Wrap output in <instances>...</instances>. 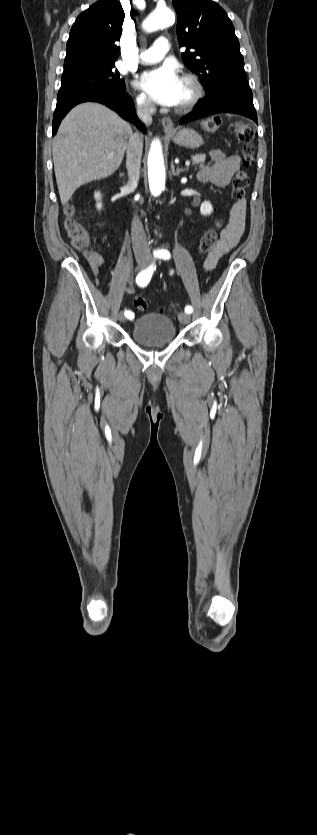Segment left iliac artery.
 I'll list each match as a JSON object with an SVG mask.
<instances>
[{
	"label": "left iliac artery",
	"mask_w": 317,
	"mask_h": 835,
	"mask_svg": "<svg viewBox=\"0 0 317 835\" xmlns=\"http://www.w3.org/2000/svg\"><path fill=\"white\" fill-rule=\"evenodd\" d=\"M157 256H158L159 258H161V259L168 260V259H170L171 254H170V252H169L168 250H166V249H162V250L158 251ZM192 311H193L192 306L187 305V306L185 307V312H186V313L190 314Z\"/></svg>",
	"instance_id": "1"
}]
</instances>
